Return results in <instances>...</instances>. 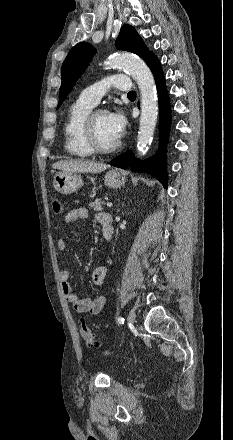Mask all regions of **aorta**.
Returning <instances> with one entry per match:
<instances>
[{"mask_svg":"<svg viewBox=\"0 0 233 440\" xmlns=\"http://www.w3.org/2000/svg\"><path fill=\"white\" fill-rule=\"evenodd\" d=\"M109 65L122 68L137 82L141 95L137 151L141 157L152 143L158 117V97L155 80L146 63L139 57L122 53L109 59Z\"/></svg>","mask_w":233,"mask_h":440,"instance_id":"1","label":"aorta"}]
</instances>
